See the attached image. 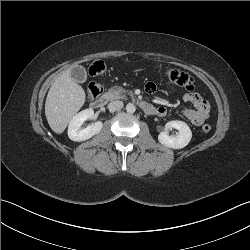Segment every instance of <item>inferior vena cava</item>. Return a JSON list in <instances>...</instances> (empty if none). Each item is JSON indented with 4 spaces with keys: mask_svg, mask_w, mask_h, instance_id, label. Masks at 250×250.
Listing matches in <instances>:
<instances>
[{
    "mask_svg": "<svg viewBox=\"0 0 250 250\" xmlns=\"http://www.w3.org/2000/svg\"><path fill=\"white\" fill-rule=\"evenodd\" d=\"M123 108V102L122 101H112L108 104V109L110 112L119 111Z\"/></svg>",
    "mask_w": 250,
    "mask_h": 250,
    "instance_id": "inferior-vena-cava-1",
    "label": "inferior vena cava"
}]
</instances>
